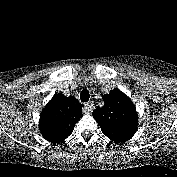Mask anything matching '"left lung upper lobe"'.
Instances as JSON below:
<instances>
[{"label":"left lung upper lobe","instance_id":"1","mask_svg":"<svg viewBox=\"0 0 177 177\" xmlns=\"http://www.w3.org/2000/svg\"><path fill=\"white\" fill-rule=\"evenodd\" d=\"M103 100L104 106L93 112L103 134L116 143L131 139L138 128V114L131 99L116 88Z\"/></svg>","mask_w":177,"mask_h":177}]
</instances>
